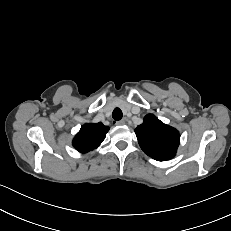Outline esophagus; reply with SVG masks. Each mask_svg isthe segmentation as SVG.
I'll use <instances>...</instances> for the list:
<instances>
[{"label": "esophagus", "mask_w": 231, "mask_h": 231, "mask_svg": "<svg viewBox=\"0 0 231 231\" xmlns=\"http://www.w3.org/2000/svg\"><path fill=\"white\" fill-rule=\"evenodd\" d=\"M124 124H125V120H120V121L115 122V125H117V126H122Z\"/></svg>", "instance_id": "1"}]
</instances>
